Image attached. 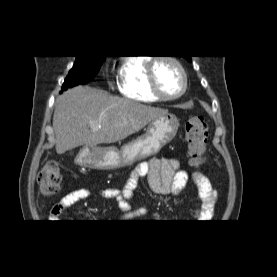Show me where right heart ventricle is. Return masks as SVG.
Listing matches in <instances>:
<instances>
[{"label":"right heart ventricle","instance_id":"1","mask_svg":"<svg viewBox=\"0 0 277 277\" xmlns=\"http://www.w3.org/2000/svg\"><path fill=\"white\" fill-rule=\"evenodd\" d=\"M149 59L144 56L127 57L118 70L119 91L129 99L152 103L160 101L149 88L147 66Z\"/></svg>","mask_w":277,"mask_h":277}]
</instances>
